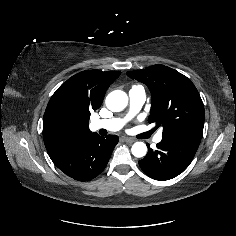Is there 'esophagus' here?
I'll return each mask as SVG.
<instances>
[{"mask_svg":"<svg viewBox=\"0 0 236 236\" xmlns=\"http://www.w3.org/2000/svg\"><path fill=\"white\" fill-rule=\"evenodd\" d=\"M123 140L127 143H133L135 142V140L133 138H129V137H123Z\"/></svg>","mask_w":236,"mask_h":236,"instance_id":"obj_1","label":"esophagus"}]
</instances>
